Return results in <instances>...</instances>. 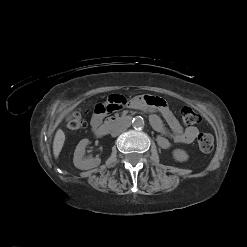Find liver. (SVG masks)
Masks as SVG:
<instances>
[{
    "mask_svg": "<svg viewBox=\"0 0 247 247\" xmlns=\"http://www.w3.org/2000/svg\"><path fill=\"white\" fill-rule=\"evenodd\" d=\"M65 142V134L63 132V130L58 129L56 131L55 137H54V141H53V154L55 158H58L63 145Z\"/></svg>",
    "mask_w": 247,
    "mask_h": 247,
    "instance_id": "obj_1",
    "label": "liver"
}]
</instances>
